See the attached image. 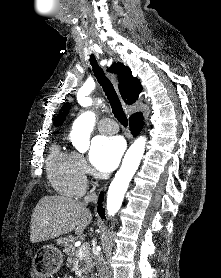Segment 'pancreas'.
Returning a JSON list of instances; mask_svg holds the SVG:
<instances>
[{
    "mask_svg": "<svg viewBox=\"0 0 221 278\" xmlns=\"http://www.w3.org/2000/svg\"><path fill=\"white\" fill-rule=\"evenodd\" d=\"M74 241L75 238L72 236L58 239V243L64 246V252L68 256L67 258L68 265L71 266L77 259H79L80 263L83 264L81 269L83 273L82 278H88V274L91 273L93 268L92 254L90 253V247L87 246V249L79 258L78 256L79 248H75L73 246Z\"/></svg>",
    "mask_w": 221,
    "mask_h": 278,
    "instance_id": "1",
    "label": "pancreas"
}]
</instances>
